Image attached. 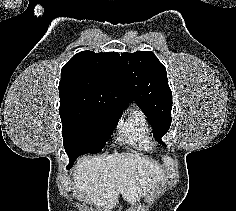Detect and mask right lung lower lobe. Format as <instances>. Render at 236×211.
<instances>
[{
	"instance_id": "obj_1",
	"label": "right lung lower lobe",
	"mask_w": 236,
	"mask_h": 211,
	"mask_svg": "<svg viewBox=\"0 0 236 211\" xmlns=\"http://www.w3.org/2000/svg\"><path fill=\"white\" fill-rule=\"evenodd\" d=\"M77 158H78V156H77V157H74V158H70V159H69V160H70V164L67 166V169H70V168L72 167V165H73L74 161H75Z\"/></svg>"
}]
</instances>
